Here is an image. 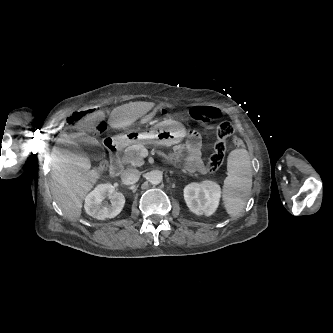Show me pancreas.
<instances>
[{
  "label": "pancreas",
  "instance_id": "cf45deb5",
  "mask_svg": "<svg viewBox=\"0 0 333 333\" xmlns=\"http://www.w3.org/2000/svg\"><path fill=\"white\" fill-rule=\"evenodd\" d=\"M145 148L146 144L144 143H137L129 146L124 151L123 161L128 162L134 166H141L144 163L141 152Z\"/></svg>",
  "mask_w": 333,
  "mask_h": 333
}]
</instances>
